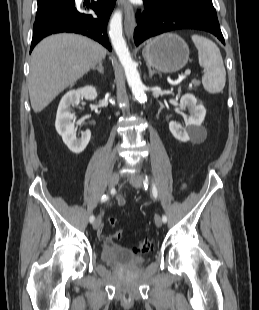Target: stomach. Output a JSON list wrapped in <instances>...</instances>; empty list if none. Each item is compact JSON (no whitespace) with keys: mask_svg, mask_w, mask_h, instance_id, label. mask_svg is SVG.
<instances>
[{"mask_svg":"<svg viewBox=\"0 0 259 310\" xmlns=\"http://www.w3.org/2000/svg\"><path fill=\"white\" fill-rule=\"evenodd\" d=\"M142 54L148 66L163 73H171L186 65L189 47L178 35L167 33L148 42Z\"/></svg>","mask_w":259,"mask_h":310,"instance_id":"obj_1","label":"stomach"}]
</instances>
